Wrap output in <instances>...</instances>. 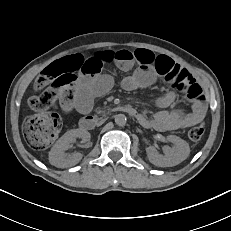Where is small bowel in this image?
<instances>
[{
  "label": "small bowel",
  "mask_w": 231,
  "mask_h": 231,
  "mask_svg": "<svg viewBox=\"0 0 231 231\" xmlns=\"http://www.w3.org/2000/svg\"><path fill=\"white\" fill-rule=\"evenodd\" d=\"M59 61L66 63L75 76L72 98L61 100V108L64 112L72 109L82 113L88 112L94 97L104 95L112 88V77L103 73L104 68L109 64H115L123 71L136 67L133 73L122 81V87L128 91L145 88L151 85L158 76H163L170 81L173 73L188 72L170 57L156 56L146 49L101 50L87 56L70 55ZM174 102L175 94L166 93L157 100V105L162 110L152 119L140 114L139 122L146 127L168 131L199 124L205 118L206 104L202 98L190 99V111H186L183 106L173 107Z\"/></svg>",
  "instance_id": "c3829d8e"
}]
</instances>
